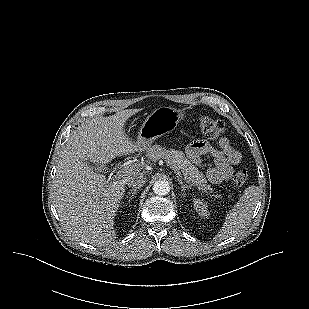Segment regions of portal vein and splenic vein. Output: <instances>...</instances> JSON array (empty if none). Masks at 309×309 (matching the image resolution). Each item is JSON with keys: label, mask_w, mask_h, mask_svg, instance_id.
<instances>
[{"label": "portal vein and splenic vein", "mask_w": 309, "mask_h": 309, "mask_svg": "<svg viewBox=\"0 0 309 309\" xmlns=\"http://www.w3.org/2000/svg\"><path fill=\"white\" fill-rule=\"evenodd\" d=\"M166 164L169 165L172 168V170H174V172L180 176V173L177 171V169L173 165H171L169 161H166ZM136 167L137 165H129V166L124 167L123 169H118L116 171L117 178L123 177L126 173L133 171Z\"/></svg>", "instance_id": "obj_1"}]
</instances>
